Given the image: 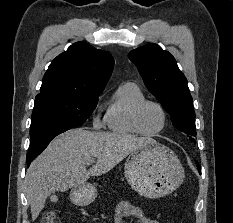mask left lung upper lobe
Returning a JSON list of instances; mask_svg holds the SVG:
<instances>
[{
	"mask_svg": "<svg viewBox=\"0 0 233 223\" xmlns=\"http://www.w3.org/2000/svg\"><path fill=\"white\" fill-rule=\"evenodd\" d=\"M129 59L138 67L148 90L162 102L171 115L175 128L196 136L195 112L187 79L179 70L174 57L156 44L132 50Z\"/></svg>",
	"mask_w": 233,
	"mask_h": 223,
	"instance_id": "5c2ea615",
	"label": "left lung upper lobe"
}]
</instances>
